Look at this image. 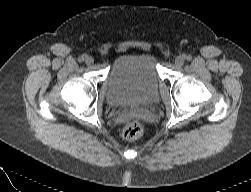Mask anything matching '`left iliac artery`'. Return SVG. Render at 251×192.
Masks as SVG:
<instances>
[{
	"instance_id": "1",
	"label": "left iliac artery",
	"mask_w": 251,
	"mask_h": 192,
	"mask_svg": "<svg viewBox=\"0 0 251 192\" xmlns=\"http://www.w3.org/2000/svg\"><path fill=\"white\" fill-rule=\"evenodd\" d=\"M187 61H190L192 59V57L190 55L185 57Z\"/></svg>"
}]
</instances>
